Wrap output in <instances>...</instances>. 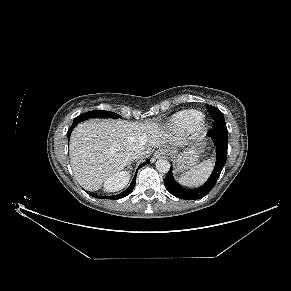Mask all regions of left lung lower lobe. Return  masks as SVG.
I'll list each match as a JSON object with an SVG mask.
<instances>
[{"label": "left lung lower lobe", "mask_w": 291, "mask_h": 291, "mask_svg": "<svg viewBox=\"0 0 291 291\" xmlns=\"http://www.w3.org/2000/svg\"><path fill=\"white\" fill-rule=\"evenodd\" d=\"M209 136L216 146V161L214 169L208 178V180L200 187L195 189H185L180 187L174 180L172 174V168H170L168 174L164 179V184L167 190L174 196L180 198L183 192H187L192 197V200L200 199L204 197L216 184L221 171L226 163L227 159V127L225 124H214L213 129L209 131ZM190 200V199H189Z\"/></svg>", "instance_id": "0a47b994"}]
</instances>
